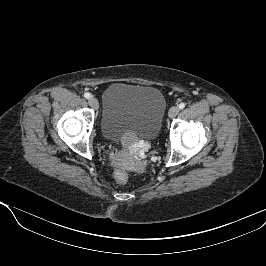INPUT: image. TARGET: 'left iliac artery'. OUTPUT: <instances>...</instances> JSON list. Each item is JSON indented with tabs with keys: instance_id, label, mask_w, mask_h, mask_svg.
<instances>
[{
	"instance_id": "left-iliac-artery-1",
	"label": "left iliac artery",
	"mask_w": 266,
	"mask_h": 266,
	"mask_svg": "<svg viewBox=\"0 0 266 266\" xmlns=\"http://www.w3.org/2000/svg\"><path fill=\"white\" fill-rule=\"evenodd\" d=\"M185 107V103H180L179 104V109H183Z\"/></svg>"
}]
</instances>
